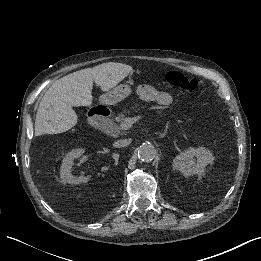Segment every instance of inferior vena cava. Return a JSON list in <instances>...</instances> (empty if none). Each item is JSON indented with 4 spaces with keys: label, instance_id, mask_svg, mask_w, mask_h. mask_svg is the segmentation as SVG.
Segmentation results:
<instances>
[{
    "label": "inferior vena cava",
    "instance_id": "inferior-vena-cava-1",
    "mask_svg": "<svg viewBox=\"0 0 261 261\" xmlns=\"http://www.w3.org/2000/svg\"><path fill=\"white\" fill-rule=\"evenodd\" d=\"M128 142H130V140H128ZM118 143H119V144H121V143H122V144H126V141H125V140H119Z\"/></svg>",
    "mask_w": 261,
    "mask_h": 261
}]
</instances>
